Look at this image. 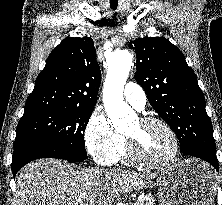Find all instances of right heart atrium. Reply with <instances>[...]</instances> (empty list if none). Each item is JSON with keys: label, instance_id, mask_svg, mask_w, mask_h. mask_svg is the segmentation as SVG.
Instances as JSON below:
<instances>
[{"label": "right heart atrium", "instance_id": "right-heart-atrium-1", "mask_svg": "<svg viewBox=\"0 0 222 205\" xmlns=\"http://www.w3.org/2000/svg\"><path fill=\"white\" fill-rule=\"evenodd\" d=\"M84 140L96 163L111 165L122 147L124 137L112 128L102 112L96 110L86 124Z\"/></svg>", "mask_w": 222, "mask_h": 205}]
</instances>
